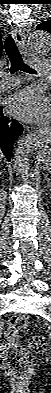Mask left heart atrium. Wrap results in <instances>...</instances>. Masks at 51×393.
Returning <instances> with one entry per match:
<instances>
[{
    "instance_id": "left-heart-atrium-1",
    "label": "left heart atrium",
    "mask_w": 51,
    "mask_h": 393,
    "mask_svg": "<svg viewBox=\"0 0 51 393\" xmlns=\"http://www.w3.org/2000/svg\"><path fill=\"white\" fill-rule=\"evenodd\" d=\"M8 107L13 115L30 122H43L50 115L48 99L33 87H27L12 95Z\"/></svg>"
}]
</instances>
